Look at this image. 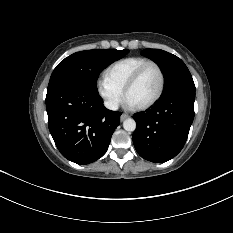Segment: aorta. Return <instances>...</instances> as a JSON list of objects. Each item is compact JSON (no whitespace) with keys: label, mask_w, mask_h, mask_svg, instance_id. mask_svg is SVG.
Returning <instances> with one entry per match:
<instances>
[{"label":"aorta","mask_w":233,"mask_h":233,"mask_svg":"<svg viewBox=\"0 0 233 233\" xmlns=\"http://www.w3.org/2000/svg\"><path fill=\"white\" fill-rule=\"evenodd\" d=\"M123 128L126 130V131H134L136 129V122L134 119L132 118H128L126 120H124L123 122Z\"/></svg>","instance_id":"aorta-1"}]
</instances>
